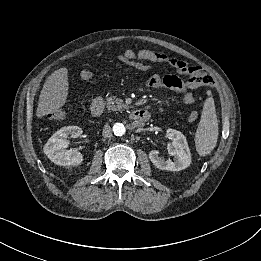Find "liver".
I'll return each instance as SVG.
<instances>
[{
  "label": "liver",
  "instance_id": "1",
  "mask_svg": "<svg viewBox=\"0 0 261 261\" xmlns=\"http://www.w3.org/2000/svg\"><path fill=\"white\" fill-rule=\"evenodd\" d=\"M68 89L67 68L63 67L54 71L47 78L41 90L36 116L42 118L45 115L58 111L66 102Z\"/></svg>",
  "mask_w": 261,
  "mask_h": 261
}]
</instances>
